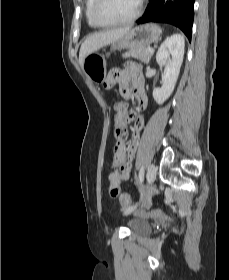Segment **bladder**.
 <instances>
[{"label":"bladder","mask_w":229,"mask_h":280,"mask_svg":"<svg viewBox=\"0 0 229 280\" xmlns=\"http://www.w3.org/2000/svg\"><path fill=\"white\" fill-rule=\"evenodd\" d=\"M127 224L135 234H147L152 231V226L145 219H131Z\"/></svg>","instance_id":"bladder-1"}]
</instances>
